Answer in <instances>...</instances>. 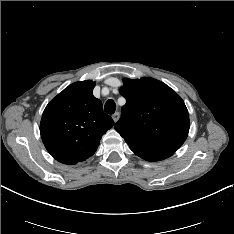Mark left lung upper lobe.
Here are the masks:
<instances>
[{
	"label": "left lung upper lobe",
	"instance_id": "left-lung-upper-lobe-1",
	"mask_svg": "<svg viewBox=\"0 0 234 234\" xmlns=\"http://www.w3.org/2000/svg\"><path fill=\"white\" fill-rule=\"evenodd\" d=\"M126 104L115 130L130 148L175 152L189 132V114L181 97L158 80L124 79Z\"/></svg>",
	"mask_w": 234,
	"mask_h": 234
}]
</instances>
